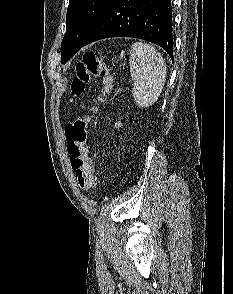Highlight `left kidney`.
<instances>
[{
  "label": "left kidney",
  "instance_id": "5707ae66",
  "mask_svg": "<svg viewBox=\"0 0 233 294\" xmlns=\"http://www.w3.org/2000/svg\"><path fill=\"white\" fill-rule=\"evenodd\" d=\"M121 125H122V124H121L120 122H119V123H115V127H116V128L121 127Z\"/></svg>",
  "mask_w": 233,
  "mask_h": 294
}]
</instances>
